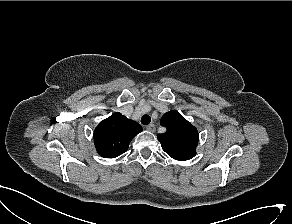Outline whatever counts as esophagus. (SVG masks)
<instances>
[{
	"label": "esophagus",
	"mask_w": 292,
	"mask_h": 224,
	"mask_svg": "<svg viewBox=\"0 0 292 224\" xmlns=\"http://www.w3.org/2000/svg\"><path fill=\"white\" fill-rule=\"evenodd\" d=\"M146 130L149 131V132H155V130H156L155 125L154 124H149L146 127Z\"/></svg>",
	"instance_id": "34e87169"
}]
</instances>
